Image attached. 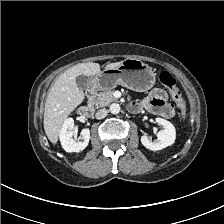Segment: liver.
<instances>
[{
  "label": "liver",
  "mask_w": 224,
  "mask_h": 224,
  "mask_svg": "<svg viewBox=\"0 0 224 224\" xmlns=\"http://www.w3.org/2000/svg\"><path fill=\"white\" fill-rule=\"evenodd\" d=\"M121 63H110L105 68H115ZM100 71L98 63H81L56 79L46 99L43 120L45 133L51 143H57L63 122L84 100V93L76 85V77L95 76Z\"/></svg>",
  "instance_id": "1"
}]
</instances>
